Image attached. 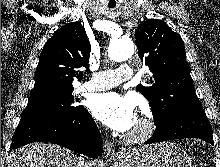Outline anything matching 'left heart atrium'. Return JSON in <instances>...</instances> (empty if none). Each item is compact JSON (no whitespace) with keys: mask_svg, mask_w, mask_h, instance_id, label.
<instances>
[{"mask_svg":"<svg viewBox=\"0 0 220 167\" xmlns=\"http://www.w3.org/2000/svg\"><path fill=\"white\" fill-rule=\"evenodd\" d=\"M137 103L129 95L105 92L95 95L89 104L90 111L100 122L109 128L126 132L137 121Z\"/></svg>","mask_w":220,"mask_h":167,"instance_id":"left-heart-atrium-1","label":"left heart atrium"}]
</instances>
